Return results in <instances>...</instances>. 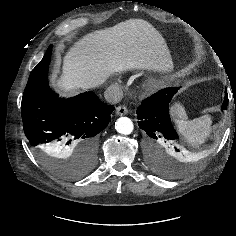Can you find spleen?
Instances as JSON below:
<instances>
[{"mask_svg": "<svg viewBox=\"0 0 236 236\" xmlns=\"http://www.w3.org/2000/svg\"><path fill=\"white\" fill-rule=\"evenodd\" d=\"M178 133L193 146H199L205 142L211 132V117L204 115L193 120L174 119Z\"/></svg>", "mask_w": 236, "mask_h": 236, "instance_id": "spleen-1", "label": "spleen"}]
</instances>
